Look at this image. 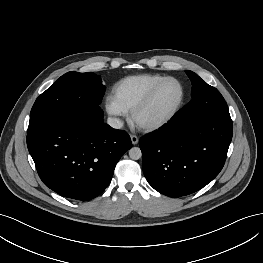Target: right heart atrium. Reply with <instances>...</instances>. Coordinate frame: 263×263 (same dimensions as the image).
<instances>
[{
    "instance_id": "obj_1",
    "label": "right heart atrium",
    "mask_w": 263,
    "mask_h": 263,
    "mask_svg": "<svg viewBox=\"0 0 263 263\" xmlns=\"http://www.w3.org/2000/svg\"><path fill=\"white\" fill-rule=\"evenodd\" d=\"M105 110L107 114L113 118H120L124 116V112L115 104L111 96L105 100Z\"/></svg>"
}]
</instances>
